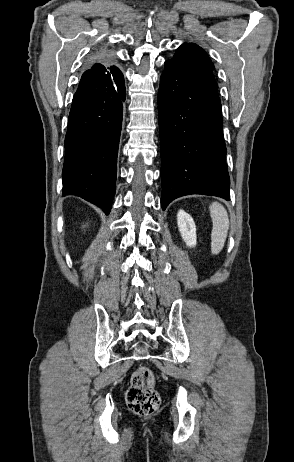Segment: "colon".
Masks as SVG:
<instances>
[{
  "instance_id": "colon-1",
  "label": "colon",
  "mask_w": 294,
  "mask_h": 462,
  "mask_svg": "<svg viewBox=\"0 0 294 462\" xmlns=\"http://www.w3.org/2000/svg\"><path fill=\"white\" fill-rule=\"evenodd\" d=\"M128 407L136 414H153L160 406V396L155 390V376L147 366L138 367L131 378L126 393Z\"/></svg>"
}]
</instances>
